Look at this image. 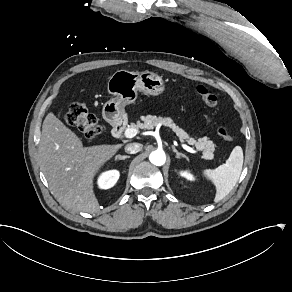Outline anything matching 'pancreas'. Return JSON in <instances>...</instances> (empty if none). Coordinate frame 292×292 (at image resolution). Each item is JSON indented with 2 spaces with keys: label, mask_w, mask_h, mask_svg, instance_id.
Here are the masks:
<instances>
[{
  "label": "pancreas",
  "mask_w": 292,
  "mask_h": 292,
  "mask_svg": "<svg viewBox=\"0 0 292 292\" xmlns=\"http://www.w3.org/2000/svg\"><path fill=\"white\" fill-rule=\"evenodd\" d=\"M141 120L143 123L137 121L136 124L131 123L130 127L136 129H153L155 126L161 123L164 126L170 127L180 140H186L188 144L195 145L198 151H203L204 158H213L214 144L212 141L208 140L207 137L199 138L198 141H196L194 138H190L183 129L179 128L173 123V120L170 117L147 115L141 116Z\"/></svg>",
  "instance_id": "obj_1"
}]
</instances>
